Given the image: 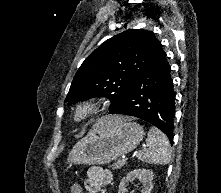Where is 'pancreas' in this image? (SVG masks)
I'll list each match as a JSON object with an SVG mask.
<instances>
[{
  "instance_id": "obj_1",
  "label": "pancreas",
  "mask_w": 221,
  "mask_h": 193,
  "mask_svg": "<svg viewBox=\"0 0 221 193\" xmlns=\"http://www.w3.org/2000/svg\"><path fill=\"white\" fill-rule=\"evenodd\" d=\"M126 161H122V160H117L114 164H112L110 167L112 169H120L121 167H123L125 165Z\"/></svg>"
}]
</instances>
